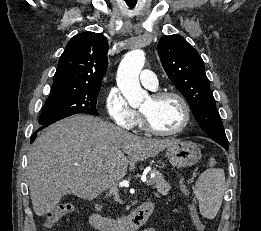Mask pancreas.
I'll list each match as a JSON object with an SVG mask.
<instances>
[{
    "instance_id": "pancreas-1",
    "label": "pancreas",
    "mask_w": 261,
    "mask_h": 231,
    "mask_svg": "<svg viewBox=\"0 0 261 231\" xmlns=\"http://www.w3.org/2000/svg\"><path fill=\"white\" fill-rule=\"evenodd\" d=\"M149 173L154 174V177L152 178L153 188L156 189L159 194L167 196L171 189L170 184L165 181L162 174L155 168L152 169Z\"/></svg>"
}]
</instances>
